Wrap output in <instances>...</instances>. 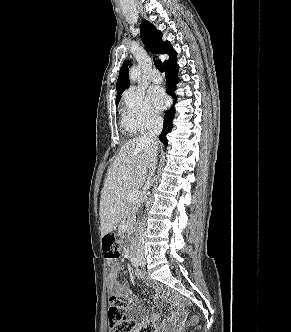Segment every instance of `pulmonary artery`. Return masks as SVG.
<instances>
[{
	"label": "pulmonary artery",
	"mask_w": 291,
	"mask_h": 332,
	"mask_svg": "<svg viewBox=\"0 0 291 332\" xmlns=\"http://www.w3.org/2000/svg\"><path fill=\"white\" fill-rule=\"evenodd\" d=\"M151 80L154 83H161L162 82V77L157 71H154L152 76H151Z\"/></svg>",
	"instance_id": "pulmonary-artery-1"
}]
</instances>
